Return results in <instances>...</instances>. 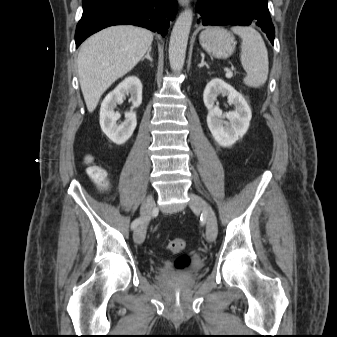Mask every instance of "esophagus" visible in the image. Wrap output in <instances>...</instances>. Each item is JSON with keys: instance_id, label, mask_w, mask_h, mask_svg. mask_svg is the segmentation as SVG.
<instances>
[{"instance_id": "esophagus-1", "label": "esophagus", "mask_w": 337, "mask_h": 337, "mask_svg": "<svg viewBox=\"0 0 337 337\" xmlns=\"http://www.w3.org/2000/svg\"><path fill=\"white\" fill-rule=\"evenodd\" d=\"M178 2L181 6H188L189 5V0H178Z\"/></svg>"}]
</instances>
